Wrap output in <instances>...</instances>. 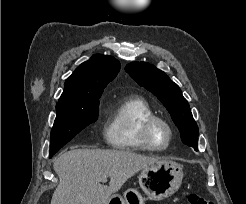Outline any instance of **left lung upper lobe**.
Returning <instances> with one entry per match:
<instances>
[{
    "label": "left lung upper lobe",
    "instance_id": "1",
    "mask_svg": "<svg viewBox=\"0 0 246 204\" xmlns=\"http://www.w3.org/2000/svg\"><path fill=\"white\" fill-rule=\"evenodd\" d=\"M125 70L163 103L178 127L183 143L198 150V126L179 86L163 71L145 62H131Z\"/></svg>",
    "mask_w": 246,
    "mask_h": 204
}]
</instances>
